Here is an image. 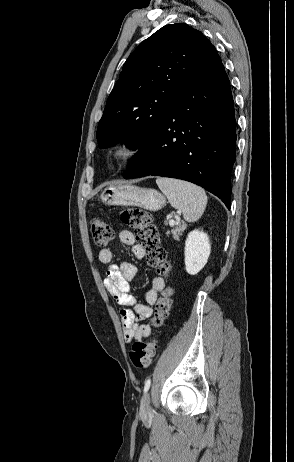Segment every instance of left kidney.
Here are the masks:
<instances>
[{
  "instance_id": "obj_1",
  "label": "left kidney",
  "mask_w": 294,
  "mask_h": 462,
  "mask_svg": "<svg viewBox=\"0 0 294 462\" xmlns=\"http://www.w3.org/2000/svg\"><path fill=\"white\" fill-rule=\"evenodd\" d=\"M211 252L208 235L200 230L191 231L185 241V269L188 274H197L207 263Z\"/></svg>"
}]
</instances>
